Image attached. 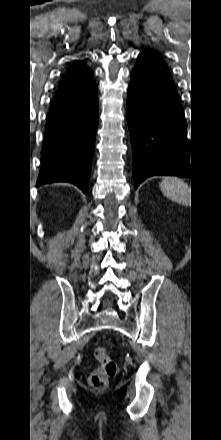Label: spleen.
<instances>
[{
    "mask_svg": "<svg viewBox=\"0 0 221 440\" xmlns=\"http://www.w3.org/2000/svg\"><path fill=\"white\" fill-rule=\"evenodd\" d=\"M162 193L169 199L183 205L190 203V187L176 177H165L159 184Z\"/></svg>",
    "mask_w": 221,
    "mask_h": 440,
    "instance_id": "1",
    "label": "spleen"
}]
</instances>
